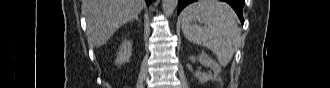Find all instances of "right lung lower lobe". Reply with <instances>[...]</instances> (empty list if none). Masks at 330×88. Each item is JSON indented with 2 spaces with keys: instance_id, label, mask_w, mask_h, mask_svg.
<instances>
[{
  "instance_id": "right-lung-lower-lobe-1",
  "label": "right lung lower lobe",
  "mask_w": 330,
  "mask_h": 88,
  "mask_svg": "<svg viewBox=\"0 0 330 88\" xmlns=\"http://www.w3.org/2000/svg\"><path fill=\"white\" fill-rule=\"evenodd\" d=\"M147 5H149L153 0H145Z\"/></svg>"
}]
</instances>
